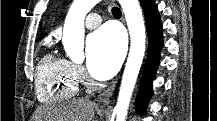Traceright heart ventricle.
Here are the masks:
<instances>
[{
    "mask_svg": "<svg viewBox=\"0 0 217 121\" xmlns=\"http://www.w3.org/2000/svg\"><path fill=\"white\" fill-rule=\"evenodd\" d=\"M78 77L74 65L50 53L39 62L36 70V94L42 103L61 102L75 95Z\"/></svg>",
    "mask_w": 217,
    "mask_h": 121,
    "instance_id": "e07e8e85",
    "label": "right heart ventricle"
}]
</instances>
